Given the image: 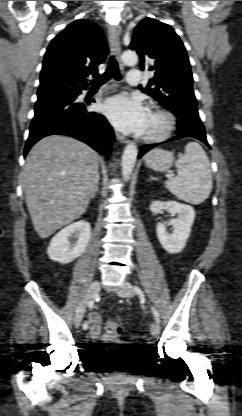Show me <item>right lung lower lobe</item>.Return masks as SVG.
<instances>
[{"instance_id": "1", "label": "right lung lower lobe", "mask_w": 242, "mask_h": 416, "mask_svg": "<svg viewBox=\"0 0 242 416\" xmlns=\"http://www.w3.org/2000/svg\"><path fill=\"white\" fill-rule=\"evenodd\" d=\"M83 89L38 97L24 157L38 140L53 134L72 136L104 156H110L113 130L104 116L88 112L85 104L77 102Z\"/></svg>"}]
</instances>
